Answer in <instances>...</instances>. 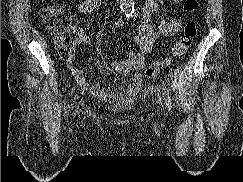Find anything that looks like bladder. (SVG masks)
<instances>
[{
  "instance_id": "1",
  "label": "bladder",
  "mask_w": 243,
  "mask_h": 182,
  "mask_svg": "<svg viewBox=\"0 0 243 182\" xmlns=\"http://www.w3.org/2000/svg\"><path fill=\"white\" fill-rule=\"evenodd\" d=\"M136 102L132 98H126L108 105L107 109L113 113H128L134 110Z\"/></svg>"
}]
</instances>
